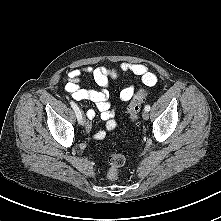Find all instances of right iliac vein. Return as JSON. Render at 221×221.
<instances>
[{
	"label": "right iliac vein",
	"mask_w": 221,
	"mask_h": 221,
	"mask_svg": "<svg viewBox=\"0 0 221 221\" xmlns=\"http://www.w3.org/2000/svg\"><path fill=\"white\" fill-rule=\"evenodd\" d=\"M81 124H82V125H85V124H86V119H85V117H84V116H82V119H81Z\"/></svg>",
	"instance_id": "right-iliac-vein-1"
}]
</instances>
